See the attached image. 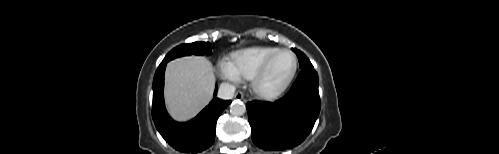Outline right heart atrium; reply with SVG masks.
I'll return each mask as SVG.
<instances>
[{
  "mask_svg": "<svg viewBox=\"0 0 499 154\" xmlns=\"http://www.w3.org/2000/svg\"><path fill=\"white\" fill-rule=\"evenodd\" d=\"M218 71L219 75L224 79H228L231 81H239L240 79V76L234 69L229 59H222L218 63Z\"/></svg>",
  "mask_w": 499,
  "mask_h": 154,
  "instance_id": "obj_1",
  "label": "right heart atrium"
}]
</instances>
